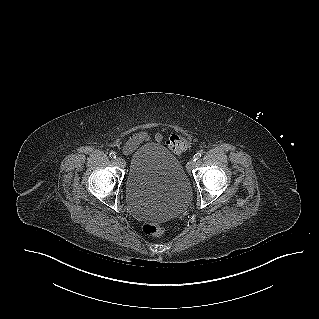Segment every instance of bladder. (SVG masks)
<instances>
[{
  "label": "bladder",
  "instance_id": "obj_1",
  "mask_svg": "<svg viewBox=\"0 0 319 319\" xmlns=\"http://www.w3.org/2000/svg\"><path fill=\"white\" fill-rule=\"evenodd\" d=\"M125 196L137 217L159 221L186 207L191 184L173 153L161 144L149 143L131 153Z\"/></svg>",
  "mask_w": 319,
  "mask_h": 319
}]
</instances>
